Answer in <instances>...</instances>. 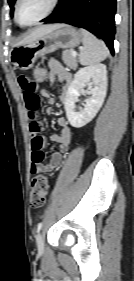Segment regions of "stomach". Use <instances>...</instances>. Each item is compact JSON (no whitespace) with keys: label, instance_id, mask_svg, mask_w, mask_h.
<instances>
[{"label":"stomach","instance_id":"0dacf381","mask_svg":"<svg viewBox=\"0 0 134 281\" xmlns=\"http://www.w3.org/2000/svg\"><path fill=\"white\" fill-rule=\"evenodd\" d=\"M82 41V34L76 28L61 24L57 29L28 44L16 45L10 51V61L20 70L33 67L35 61L59 48H74Z\"/></svg>","mask_w":134,"mask_h":281}]
</instances>
